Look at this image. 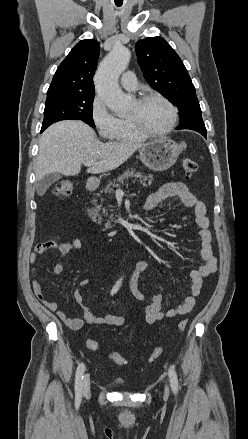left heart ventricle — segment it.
I'll use <instances>...</instances> for the list:
<instances>
[{
    "instance_id": "b2bd125f",
    "label": "left heart ventricle",
    "mask_w": 248,
    "mask_h": 439,
    "mask_svg": "<svg viewBox=\"0 0 248 439\" xmlns=\"http://www.w3.org/2000/svg\"><path fill=\"white\" fill-rule=\"evenodd\" d=\"M136 112H139L144 127L151 131H163L171 123V110L159 99H151L140 108L135 101L128 116Z\"/></svg>"
}]
</instances>
